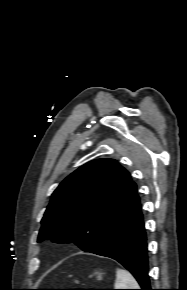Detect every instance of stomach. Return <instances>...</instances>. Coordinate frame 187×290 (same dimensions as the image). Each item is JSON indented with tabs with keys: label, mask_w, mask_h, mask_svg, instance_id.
Listing matches in <instances>:
<instances>
[{
	"label": "stomach",
	"mask_w": 187,
	"mask_h": 290,
	"mask_svg": "<svg viewBox=\"0 0 187 290\" xmlns=\"http://www.w3.org/2000/svg\"><path fill=\"white\" fill-rule=\"evenodd\" d=\"M95 275L97 276V279L98 280H101L102 279V276H103V273H101V272H95Z\"/></svg>",
	"instance_id": "0dacf381"
}]
</instances>
